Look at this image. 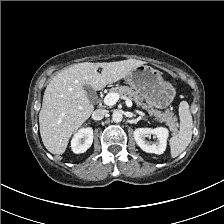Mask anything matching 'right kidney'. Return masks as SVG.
<instances>
[{
  "label": "right kidney",
  "instance_id": "obj_1",
  "mask_svg": "<svg viewBox=\"0 0 224 224\" xmlns=\"http://www.w3.org/2000/svg\"><path fill=\"white\" fill-rule=\"evenodd\" d=\"M93 143V129L91 127L81 128L74 134L71 140V149L74 153H84Z\"/></svg>",
  "mask_w": 224,
  "mask_h": 224
}]
</instances>
